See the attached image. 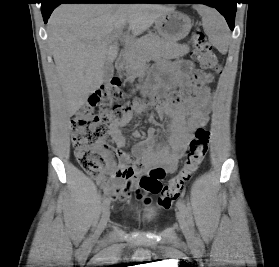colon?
<instances>
[{"mask_svg":"<svg viewBox=\"0 0 279 267\" xmlns=\"http://www.w3.org/2000/svg\"><path fill=\"white\" fill-rule=\"evenodd\" d=\"M194 46L193 60L203 69L219 71V61L211 45L206 41L201 30H194L191 34ZM212 76L204 71H196L193 75L195 89L201 90L211 80ZM160 94H156L159 97ZM191 92L177 90L167 97V103L179 104L189 99ZM123 98L121 82L117 78L111 79L95 93L88 103L77 110L72 118L73 145L75 157L80 166L91 177L98 179L103 172L109 170L107 158L110 154L106 143L109 126L113 122L122 120L125 115L134 109L136 103L132 100L120 102ZM210 142V131L205 124L197 128L190 141L186 160L179 173L167 184L162 185L163 173L158 168L150 169L139 182L140 189L149 194L159 195V205L163 208L170 206L179 198L186 182L198 169L204 160ZM136 169L121 164L112 169V174L118 178L128 179L134 176ZM141 197V195H139Z\"/></svg>","mask_w":279,"mask_h":267,"instance_id":"5ec220e1","label":"colon"}]
</instances>
